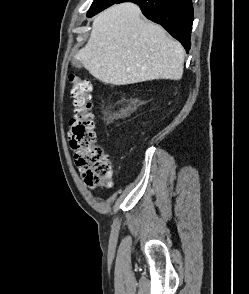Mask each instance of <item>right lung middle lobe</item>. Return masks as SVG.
Instances as JSON below:
<instances>
[{"label": "right lung middle lobe", "instance_id": "right-lung-middle-lobe-1", "mask_svg": "<svg viewBox=\"0 0 249 294\" xmlns=\"http://www.w3.org/2000/svg\"><path fill=\"white\" fill-rule=\"evenodd\" d=\"M117 1L118 0H94L87 13V16L92 17L100 11L104 10L105 8L115 4Z\"/></svg>", "mask_w": 249, "mask_h": 294}]
</instances>
